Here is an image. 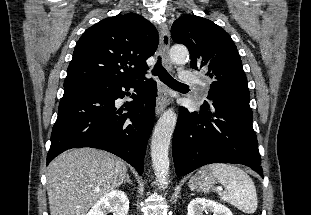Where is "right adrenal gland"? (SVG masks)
I'll list each match as a JSON object with an SVG mask.
<instances>
[{"label":"right adrenal gland","mask_w":311,"mask_h":215,"mask_svg":"<svg viewBox=\"0 0 311 215\" xmlns=\"http://www.w3.org/2000/svg\"><path fill=\"white\" fill-rule=\"evenodd\" d=\"M124 182V184L127 182V183H129V184H132V181H131V179H130V176L127 174V176H126V179L123 181Z\"/></svg>","instance_id":"right-adrenal-gland-1"}]
</instances>
